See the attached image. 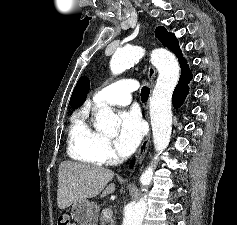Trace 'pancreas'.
Here are the masks:
<instances>
[{"instance_id": "pancreas-1", "label": "pancreas", "mask_w": 237, "mask_h": 225, "mask_svg": "<svg viewBox=\"0 0 237 225\" xmlns=\"http://www.w3.org/2000/svg\"><path fill=\"white\" fill-rule=\"evenodd\" d=\"M99 223L100 225H115L114 220L111 218H105L103 212L99 217Z\"/></svg>"}]
</instances>
